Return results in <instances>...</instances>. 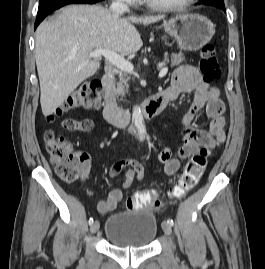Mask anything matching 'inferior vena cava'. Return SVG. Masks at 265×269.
<instances>
[{
	"mask_svg": "<svg viewBox=\"0 0 265 269\" xmlns=\"http://www.w3.org/2000/svg\"><path fill=\"white\" fill-rule=\"evenodd\" d=\"M110 11L113 16H119L125 12H129V8L126 4L118 0L111 4Z\"/></svg>",
	"mask_w": 265,
	"mask_h": 269,
	"instance_id": "1",
	"label": "inferior vena cava"
}]
</instances>
